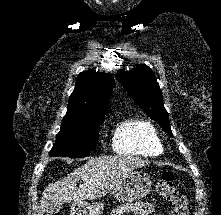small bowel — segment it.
<instances>
[{
    "mask_svg": "<svg viewBox=\"0 0 221 215\" xmlns=\"http://www.w3.org/2000/svg\"><path fill=\"white\" fill-rule=\"evenodd\" d=\"M154 212V206L150 203L136 202L124 204L113 210L111 215H124L134 213L139 215H150Z\"/></svg>",
    "mask_w": 221,
    "mask_h": 215,
    "instance_id": "1",
    "label": "small bowel"
}]
</instances>
